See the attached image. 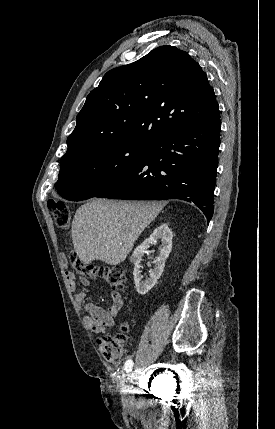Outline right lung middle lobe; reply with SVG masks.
<instances>
[{
  "label": "right lung middle lobe",
  "mask_w": 275,
  "mask_h": 429,
  "mask_svg": "<svg viewBox=\"0 0 275 429\" xmlns=\"http://www.w3.org/2000/svg\"><path fill=\"white\" fill-rule=\"evenodd\" d=\"M149 145L117 144L87 153L60 165L55 187L72 201L95 197L114 181L138 167Z\"/></svg>",
  "instance_id": "right-lung-middle-lobe-1"
}]
</instances>
